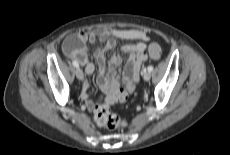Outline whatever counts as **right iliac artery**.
Returning <instances> with one entry per match:
<instances>
[{"mask_svg":"<svg viewBox=\"0 0 230 155\" xmlns=\"http://www.w3.org/2000/svg\"><path fill=\"white\" fill-rule=\"evenodd\" d=\"M72 64H73V66L76 67V68L79 67V64H78L76 61H73Z\"/></svg>","mask_w":230,"mask_h":155,"instance_id":"82829eb1","label":"right iliac artery"}]
</instances>
